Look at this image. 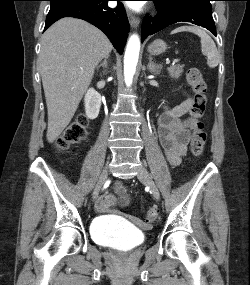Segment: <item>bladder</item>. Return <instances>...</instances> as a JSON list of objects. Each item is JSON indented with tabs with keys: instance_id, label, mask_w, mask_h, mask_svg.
Returning <instances> with one entry per match:
<instances>
[{
	"instance_id": "31cf9c89",
	"label": "bladder",
	"mask_w": 250,
	"mask_h": 285,
	"mask_svg": "<svg viewBox=\"0 0 250 285\" xmlns=\"http://www.w3.org/2000/svg\"><path fill=\"white\" fill-rule=\"evenodd\" d=\"M91 235L100 245L125 251L138 247L145 240L143 231L113 222L107 217L97 218L92 223Z\"/></svg>"
}]
</instances>
